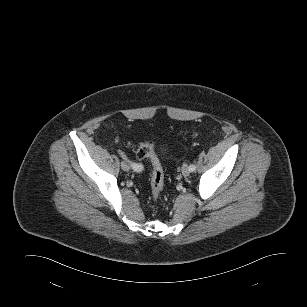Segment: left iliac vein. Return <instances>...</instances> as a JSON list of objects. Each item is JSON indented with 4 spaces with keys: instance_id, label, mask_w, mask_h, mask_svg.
Listing matches in <instances>:
<instances>
[{
    "instance_id": "4c4485c4",
    "label": "left iliac vein",
    "mask_w": 307,
    "mask_h": 307,
    "mask_svg": "<svg viewBox=\"0 0 307 307\" xmlns=\"http://www.w3.org/2000/svg\"><path fill=\"white\" fill-rule=\"evenodd\" d=\"M181 171H182V174L184 175V176H189V174H190V168H189V166L187 165V164H184L183 166H182V169H181Z\"/></svg>"
}]
</instances>
